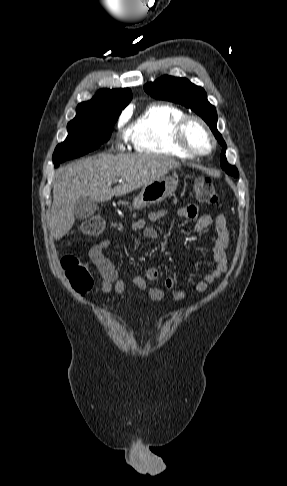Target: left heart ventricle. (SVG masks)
I'll use <instances>...</instances> for the list:
<instances>
[{
	"mask_svg": "<svg viewBox=\"0 0 287 486\" xmlns=\"http://www.w3.org/2000/svg\"><path fill=\"white\" fill-rule=\"evenodd\" d=\"M187 139L189 144L198 151H206L210 147V140L202 128L192 123L187 130Z\"/></svg>",
	"mask_w": 287,
	"mask_h": 486,
	"instance_id": "1",
	"label": "left heart ventricle"
}]
</instances>
